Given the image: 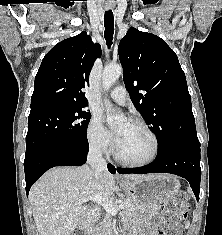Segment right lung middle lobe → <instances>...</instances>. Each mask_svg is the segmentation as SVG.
I'll list each match as a JSON object with an SVG mask.
<instances>
[{"mask_svg":"<svg viewBox=\"0 0 222 235\" xmlns=\"http://www.w3.org/2000/svg\"><path fill=\"white\" fill-rule=\"evenodd\" d=\"M78 105H57L28 117L25 157L49 147L88 148L90 113Z\"/></svg>","mask_w":222,"mask_h":235,"instance_id":"dd1d6c3e","label":"right lung middle lobe"}]
</instances>
